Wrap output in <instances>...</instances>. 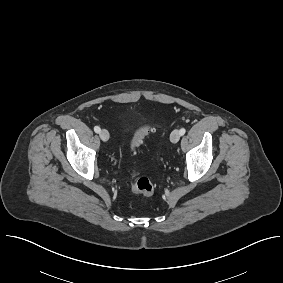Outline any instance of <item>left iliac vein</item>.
Here are the masks:
<instances>
[{"instance_id": "4c4485c4", "label": "left iliac vein", "mask_w": 283, "mask_h": 283, "mask_svg": "<svg viewBox=\"0 0 283 283\" xmlns=\"http://www.w3.org/2000/svg\"><path fill=\"white\" fill-rule=\"evenodd\" d=\"M180 133L178 130H173L171 135H170V140L172 143H177L180 139Z\"/></svg>"}]
</instances>
